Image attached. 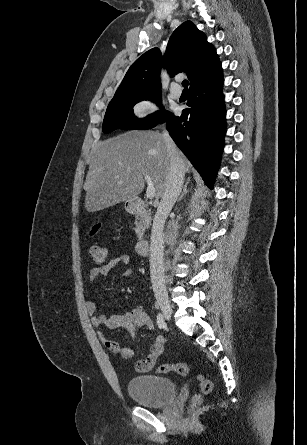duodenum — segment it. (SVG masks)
Returning a JSON list of instances; mask_svg holds the SVG:
<instances>
[{
	"label": "duodenum",
	"instance_id": "1",
	"mask_svg": "<svg viewBox=\"0 0 307 445\" xmlns=\"http://www.w3.org/2000/svg\"><path fill=\"white\" fill-rule=\"evenodd\" d=\"M146 203L143 199L135 197L128 203V211L132 214L139 215L146 210ZM136 251L141 256H146L150 251V242L143 239L137 243Z\"/></svg>",
	"mask_w": 307,
	"mask_h": 445
}]
</instances>
